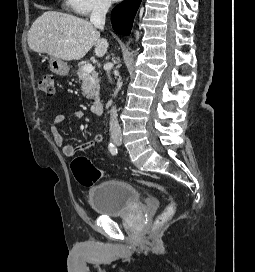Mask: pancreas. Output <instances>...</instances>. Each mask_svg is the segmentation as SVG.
I'll list each match as a JSON object with an SVG mask.
<instances>
[{"label": "pancreas", "mask_w": 255, "mask_h": 272, "mask_svg": "<svg viewBox=\"0 0 255 272\" xmlns=\"http://www.w3.org/2000/svg\"><path fill=\"white\" fill-rule=\"evenodd\" d=\"M79 81H81L82 94L87 99H93L99 96L100 92V79L96 71L85 73L83 67H80L77 72Z\"/></svg>", "instance_id": "pancreas-1"}]
</instances>
